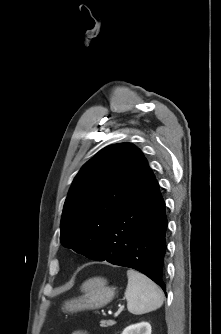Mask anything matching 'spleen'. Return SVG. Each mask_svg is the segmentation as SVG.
Here are the masks:
<instances>
[{"mask_svg":"<svg viewBox=\"0 0 221 334\" xmlns=\"http://www.w3.org/2000/svg\"><path fill=\"white\" fill-rule=\"evenodd\" d=\"M127 277L125 298L130 313L141 315L162 306L163 292L153 281L133 269L127 270Z\"/></svg>","mask_w":221,"mask_h":334,"instance_id":"1","label":"spleen"}]
</instances>
